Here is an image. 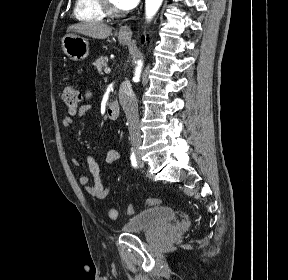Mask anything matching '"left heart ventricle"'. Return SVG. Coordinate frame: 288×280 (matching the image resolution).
I'll use <instances>...</instances> for the list:
<instances>
[{"mask_svg":"<svg viewBox=\"0 0 288 280\" xmlns=\"http://www.w3.org/2000/svg\"><path fill=\"white\" fill-rule=\"evenodd\" d=\"M112 1V3L115 5V1L114 0H111Z\"/></svg>","mask_w":288,"mask_h":280,"instance_id":"1","label":"left heart ventricle"}]
</instances>
